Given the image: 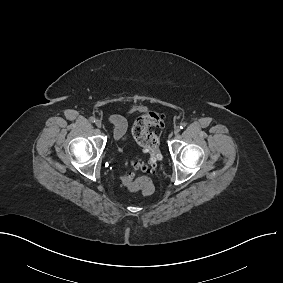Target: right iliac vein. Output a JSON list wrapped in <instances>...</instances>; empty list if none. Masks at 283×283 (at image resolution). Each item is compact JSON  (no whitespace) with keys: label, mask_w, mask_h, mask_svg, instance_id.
<instances>
[{"label":"right iliac vein","mask_w":283,"mask_h":283,"mask_svg":"<svg viewBox=\"0 0 283 283\" xmlns=\"http://www.w3.org/2000/svg\"><path fill=\"white\" fill-rule=\"evenodd\" d=\"M96 126H97L98 128H101L102 122H101L100 120H97V121H96Z\"/></svg>","instance_id":"obj_1"}]
</instances>
